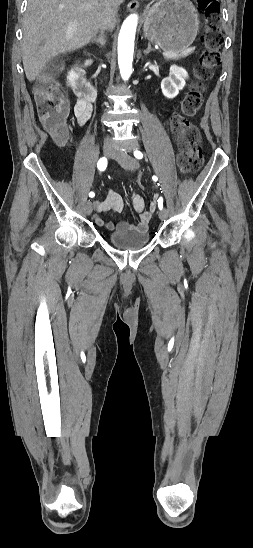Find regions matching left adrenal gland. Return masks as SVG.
Here are the masks:
<instances>
[{"label":"left adrenal gland","instance_id":"a2214340","mask_svg":"<svg viewBox=\"0 0 253 548\" xmlns=\"http://www.w3.org/2000/svg\"><path fill=\"white\" fill-rule=\"evenodd\" d=\"M151 51H154V49L151 48V43L149 42V43H148L147 49L144 51V54L147 55V54H149Z\"/></svg>","mask_w":253,"mask_h":548}]
</instances>
